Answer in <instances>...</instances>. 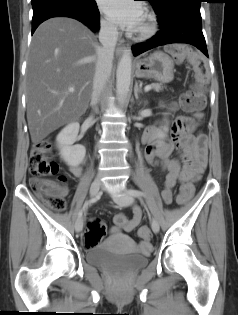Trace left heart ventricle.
I'll return each mask as SVG.
<instances>
[{
	"label": "left heart ventricle",
	"instance_id": "left-heart-ventricle-1",
	"mask_svg": "<svg viewBox=\"0 0 238 315\" xmlns=\"http://www.w3.org/2000/svg\"><path fill=\"white\" fill-rule=\"evenodd\" d=\"M145 24H146V18H145V15H144L142 20H141V22H140V25L137 28V30L143 28Z\"/></svg>",
	"mask_w": 238,
	"mask_h": 315
}]
</instances>
